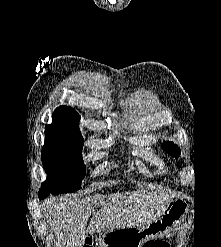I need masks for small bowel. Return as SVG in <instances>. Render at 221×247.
Wrapping results in <instances>:
<instances>
[{"label": "small bowel", "instance_id": "c3829d8e", "mask_svg": "<svg viewBox=\"0 0 221 247\" xmlns=\"http://www.w3.org/2000/svg\"><path fill=\"white\" fill-rule=\"evenodd\" d=\"M149 242L159 244V243H164L165 241L156 240V241H149ZM158 247H163V246H158Z\"/></svg>", "mask_w": 221, "mask_h": 247}]
</instances>
